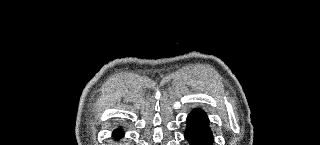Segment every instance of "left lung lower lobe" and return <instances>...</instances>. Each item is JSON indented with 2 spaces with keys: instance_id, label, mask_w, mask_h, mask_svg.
<instances>
[{
  "instance_id": "obj_1",
  "label": "left lung lower lobe",
  "mask_w": 320,
  "mask_h": 145,
  "mask_svg": "<svg viewBox=\"0 0 320 145\" xmlns=\"http://www.w3.org/2000/svg\"><path fill=\"white\" fill-rule=\"evenodd\" d=\"M185 138L191 145H212L209 120L201 109H194L187 118Z\"/></svg>"
}]
</instances>
